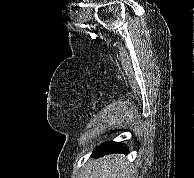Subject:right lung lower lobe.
I'll return each mask as SVG.
<instances>
[{
  "instance_id": "1",
  "label": "right lung lower lobe",
  "mask_w": 194,
  "mask_h": 178,
  "mask_svg": "<svg viewBox=\"0 0 194 178\" xmlns=\"http://www.w3.org/2000/svg\"><path fill=\"white\" fill-rule=\"evenodd\" d=\"M128 151L127 146L117 142H106L94 150L95 157L104 156L111 153H122Z\"/></svg>"
}]
</instances>
